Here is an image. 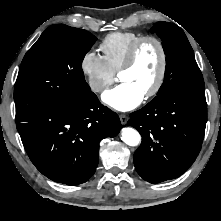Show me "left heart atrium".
Segmentation results:
<instances>
[{"label": "left heart atrium", "mask_w": 221, "mask_h": 221, "mask_svg": "<svg viewBox=\"0 0 221 221\" xmlns=\"http://www.w3.org/2000/svg\"><path fill=\"white\" fill-rule=\"evenodd\" d=\"M143 98L144 94L136 86L131 83H121L106 91L102 101L118 111H129L137 107Z\"/></svg>", "instance_id": "1"}]
</instances>
